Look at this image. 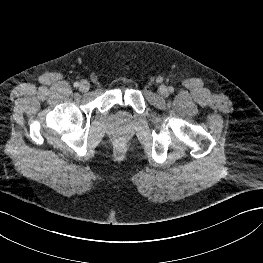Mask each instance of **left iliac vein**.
Instances as JSON below:
<instances>
[{
  "label": "left iliac vein",
  "mask_w": 263,
  "mask_h": 263,
  "mask_svg": "<svg viewBox=\"0 0 263 263\" xmlns=\"http://www.w3.org/2000/svg\"><path fill=\"white\" fill-rule=\"evenodd\" d=\"M158 91H159V94L162 95V96H168V94H169V91H168L167 87L164 86V85H161L159 87Z\"/></svg>",
  "instance_id": "1"
}]
</instances>
